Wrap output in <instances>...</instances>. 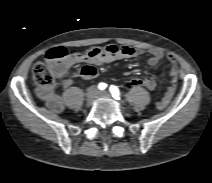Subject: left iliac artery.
<instances>
[{
  "label": "left iliac artery",
  "instance_id": "44dca946",
  "mask_svg": "<svg viewBox=\"0 0 212 183\" xmlns=\"http://www.w3.org/2000/svg\"><path fill=\"white\" fill-rule=\"evenodd\" d=\"M109 90H110V93L112 94V96L115 99L120 100V92H119V89L116 86L111 85Z\"/></svg>",
  "mask_w": 212,
  "mask_h": 183
}]
</instances>
